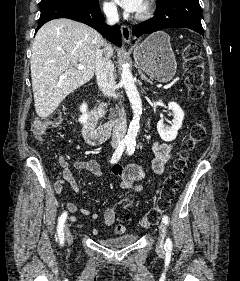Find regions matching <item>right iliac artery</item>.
Returning <instances> with one entry per match:
<instances>
[{
  "label": "right iliac artery",
  "mask_w": 240,
  "mask_h": 281,
  "mask_svg": "<svg viewBox=\"0 0 240 281\" xmlns=\"http://www.w3.org/2000/svg\"><path fill=\"white\" fill-rule=\"evenodd\" d=\"M126 146H127L126 142L119 143L116 151L114 152V154L110 160L111 163H116L120 159ZM66 218H67V212H63L58 220L57 233H58V238H59L60 244L64 243V224H65Z\"/></svg>",
  "instance_id": "right-iliac-artery-1"
}]
</instances>
